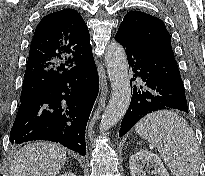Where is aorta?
<instances>
[{
	"label": "aorta",
	"mask_w": 205,
	"mask_h": 176,
	"mask_svg": "<svg viewBox=\"0 0 205 176\" xmlns=\"http://www.w3.org/2000/svg\"><path fill=\"white\" fill-rule=\"evenodd\" d=\"M105 64L111 82L112 94L101 118V131L110 129L120 121L131 101L127 58L120 44L112 43L107 47Z\"/></svg>",
	"instance_id": "1"
}]
</instances>
